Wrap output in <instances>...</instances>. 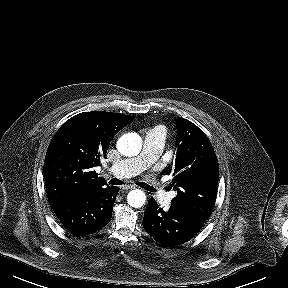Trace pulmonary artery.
Masks as SVG:
<instances>
[{"instance_id": "pulmonary-artery-1", "label": "pulmonary artery", "mask_w": 288, "mask_h": 288, "mask_svg": "<svg viewBox=\"0 0 288 288\" xmlns=\"http://www.w3.org/2000/svg\"><path fill=\"white\" fill-rule=\"evenodd\" d=\"M165 139V130L162 127L150 129L144 137L141 153L134 158L113 163L110 167V173L118 178L131 177L141 173L157 160L165 145ZM151 185L157 192L159 203L168 207L174 194L169 193L159 180H152Z\"/></svg>"}]
</instances>
